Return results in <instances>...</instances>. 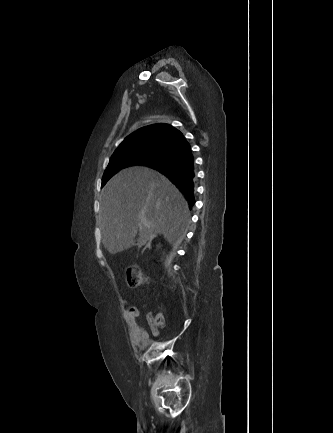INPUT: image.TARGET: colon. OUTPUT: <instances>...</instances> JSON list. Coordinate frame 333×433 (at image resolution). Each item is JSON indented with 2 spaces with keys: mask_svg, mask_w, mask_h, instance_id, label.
<instances>
[{
  "mask_svg": "<svg viewBox=\"0 0 333 433\" xmlns=\"http://www.w3.org/2000/svg\"><path fill=\"white\" fill-rule=\"evenodd\" d=\"M126 282L127 285L131 288H136L144 284L145 279L139 266L130 265L129 267H127ZM150 319L156 325L161 326L164 324V318L161 315L151 316Z\"/></svg>",
  "mask_w": 333,
  "mask_h": 433,
  "instance_id": "colon-1",
  "label": "colon"
}]
</instances>
